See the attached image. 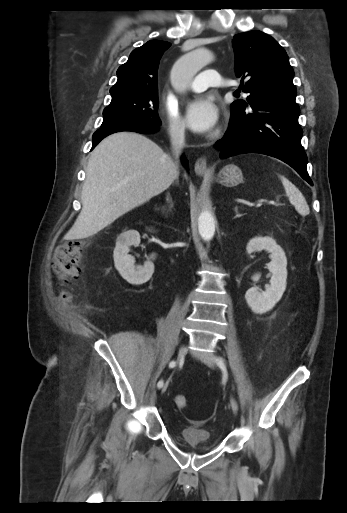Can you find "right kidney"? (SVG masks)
I'll use <instances>...</instances> for the list:
<instances>
[{"mask_svg":"<svg viewBox=\"0 0 347 513\" xmlns=\"http://www.w3.org/2000/svg\"><path fill=\"white\" fill-rule=\"evenodd\" d=\"M140 243V234L130 230L118 236L113 253L115 268L129 283L140 285L150 279L154 272V264L146 261L143 266L135 267L134 259L129 255L130 246ZM152 255L151 257H153Z\"/></svg>","mask_w":347,"mask_h":513,"instance_id":"1","label":"right kidney"}]
</instances>
